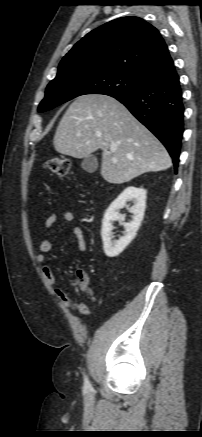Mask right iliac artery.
<instances>
[{"mask_svg": "<svg viewBox=\"0 0 202 437\" xmlns=\"http://www.w3.org/2000/svg\"><path fill=\"white\" fill-rule=\"evenodd\" d=\"M84 388L85 389H90L91 388L90 382H89L87 377H85V380H84Z\"/></svg>", "mask_w": 202, "mask_h": 437, "instance_id": "82829eb1", "label": "right iliac artery"}]
</instances>
